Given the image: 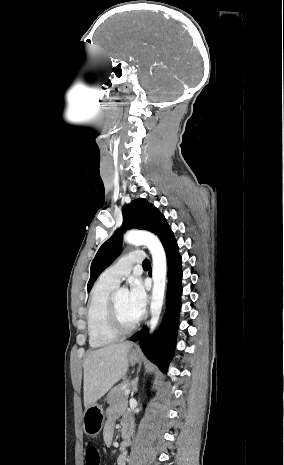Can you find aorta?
Here are the masks:
<instances>
[{
  "mask_svg": "<svg viewBox=\"0 0 284 465\" xmlns=\"http://www.w3.org/2000/svg\"><path fill=\"white\" fill-rule=\"evenodd\" d=\"M124 240L134 245H145L152 255L153 289L150 306L151 319L149 323L150 333H152L158 324L164 301L167 272L165 251L158 237L149 232L129 231L125 234ZM125 292L127 290L122 289L119 293Z\"/></svg>",
  "mask_w": 284,
  "mask_h": 465,
  "instance_id": "obj_1",
  "label": "aorta"
}]
</instances>
